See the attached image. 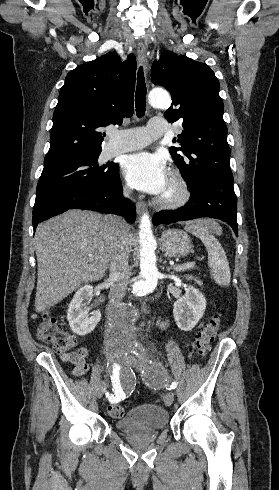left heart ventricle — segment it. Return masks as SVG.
Masks as SVG:
<instances>
[{"instance_id": "b2bd125f", "label": "left heart ventricle", "mask_w": 279, "mask_h": 490, "mask_svg": "<svg viewBox=\"0 0 279 490\" xmlns=\"http://www.w3.org/2000/svg\"><path fill=\"white\" fill-rule=\"evenodd\" d=\"M174 195V190L171 188L170 184H169V187L166 191V193L164 194L165 197H171Z\"/></svg>"}]
</instances>
